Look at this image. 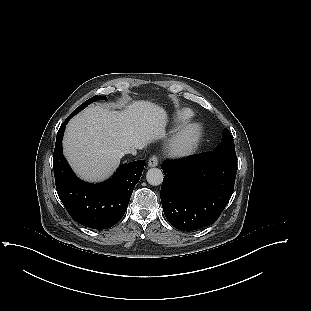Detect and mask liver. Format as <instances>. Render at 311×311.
<instances>
[{
  "mask_svg": "<svg viewBox=\"0 0 311 311\" xmlns=\"http://www.w3.org/2000/svg\"><path fill=\"white\" fill-rule=\"evenodd\" d=\"M166 111L149 101H133L123 111L92 106L73 117L66 127L63 150L73 170L84 180L108 178L120 159L136 154L165 137Z\"/></svg>",
  "mask_w": 311,
  "mask_h": 311,
  "instance_id": "obj_1",
  "label": "liver"
}]
</instances>
